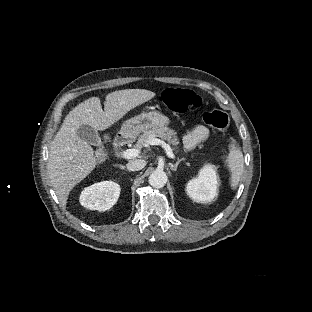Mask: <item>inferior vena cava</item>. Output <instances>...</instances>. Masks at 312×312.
<instances>
[{
  "mask_svg": "<svg viewBox=\"0 0 312 312\" xmlns=\"http://www.w3.org/2000/svg\"><path fill=\"white\" fill-rule=\"evenodd\" d=\"M146 165V161L142 159H136L127 163V169L130 171H139Z\"/></svg>",
  "mask_w": 312,
  "mask_h": 312,
  "instance_id": "602c4592",
  "label": "inferior vena cava"
}]
</instances>
